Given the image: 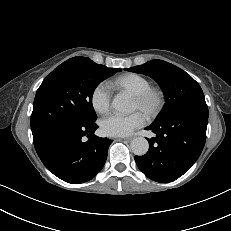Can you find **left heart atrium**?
<instances>
[{"mask_svg":"<svg viewBox=\"0 0 231 231\" xmlns=\"http://www.w3.org/2000/svg\"><path fill=\"white\" fill-rule=\"evenodd\" d=\"M145 123L141 112L129 115L110 114L101 121V130L107 136L123 137L130 135L135 129Z\"/></svg>","mask_w":231,"mask_h":231,"instance_id":"39dd6f15","label":"left heart atrium"}]
</instances>
